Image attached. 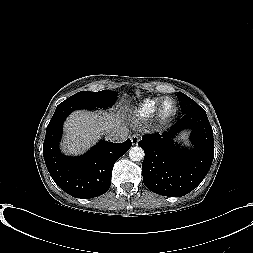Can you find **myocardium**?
<instances>
[{
	"instance_id": "f54148a6",
	"label": "myocardium",
	"mask_w": 253,
	"mask_h": 253,
	"mask_svg": "<svg viewBox=\"0 0 253 253\" xmlns=\"http://www.w3.org/2000/svg\"><path fill=\"white\" fill-rule=\"evenodd\" d=\"M166 101H172V103L174 104V109L170 114H165L163 112V105ZM177 112H178V104L176 100L173 99L172 97H163L161 98L156 109V119L161 123H166L171 121L177 115Z\"/></svg>"
}]
</instances>
